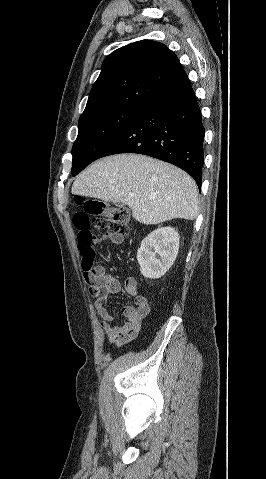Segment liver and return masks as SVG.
<instances>
[{"label": "liver", "instance_id": "obj_1", "mask_svg": "<svg viewBox=\"0 0 266 479\" xmlns=\"http://www.w3.org/2000/svg\"><path fill=\"white\" fill-rule=\"evenodd\" d=\"M71 192L125 203L145 225L194 220L199 213L195 181L181 169L144 155L118 154L94 162L76 178Z\"/></svg>", "mask_w": 266, "mask_h": 479}]
</instances>
